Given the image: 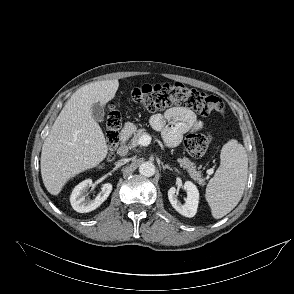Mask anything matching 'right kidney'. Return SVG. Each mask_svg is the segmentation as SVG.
I'll use <instances>...</instances> for the list:
<instances>
[{
  "label": "right kidney",
  "instance_id": "1",
  "mask_svg": "<svg viewBox=\"0 0 294 294\" xmlns=\"http://www.w3.org/2000/svg\"><path fill=\"white\" fill-rule=\"evenodd\" d=\"M92 186V180L87 179L79 183L70 195L72 208L79 213H87L98 208L110 195L112 184L105 183L95 199H87V191Z\"/></svg>",
  "mask_w": 294,
  "mask_h": 294
}]
</instances>
